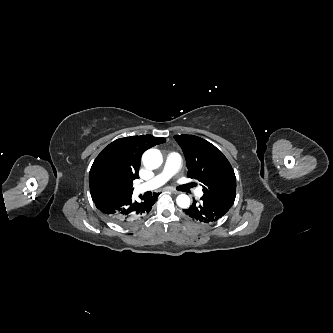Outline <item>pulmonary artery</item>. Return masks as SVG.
I'll list each match as a JSON object with an SVG mask.
<instances>
[{
	"mask_svg": "<svg viewBox=\"0 0 333 333\" xmlns=\"http://www.w3.org/2000/svg\"><path fill=\"white\" fill-rule=\"evenodd\" d=\"M181 162V156L177 152H171L165 160L163 169L149 181L136 185L135 192L141 194L162 186L178 172L181 167ZM202 195V189L199 188L196 191V196L201 197Z\"/></svg>",
	"mask_w": 333,
	"mask_h": 333,
	"instance_id": "1",
	"label": "pulmonary artery"
}]
</instances>
